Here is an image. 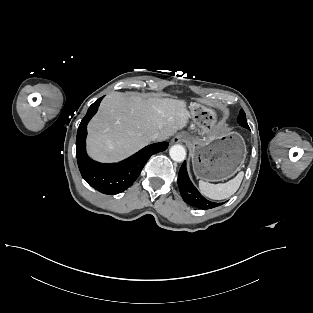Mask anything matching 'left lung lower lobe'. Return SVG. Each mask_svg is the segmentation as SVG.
Instances as JSON below:
<instances>
[{
    "mask_svg": "<svg viewBox=\"0 0 313 313\" xmlns=\"http://www.w3.org/2000/svg\"><path fill=\"white\" fill-rule=\"evenodd\" d=\"M178 186L183 200L193 207L206 210L222 205V203L208 201L199 193L189 179L186 170V162L183 163L179 171Z\"/></svg>",
    "mask_w": 313,
    "mask_h": 313,
    "instance_id": "left-lung-lower-lobe-1",
    "label": "left lung lower lobe"
}]
</instances>
